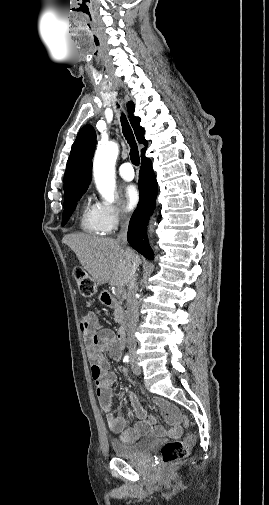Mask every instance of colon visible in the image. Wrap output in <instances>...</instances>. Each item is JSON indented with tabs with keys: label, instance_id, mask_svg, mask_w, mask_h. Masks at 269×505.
<instances>
[{
	"label": "colon",
	"instance_id": "colon-1",
	"mask_svg": "<svg viewBox=\"0 0 269 505\" xmlns=\"http://www.w3.org/2000/svg\"><path fill=\"white\" fill-rule=\"evenodd\" d=\"M74 276L80 294L83 297L91 298L96 293V284L92 277L82 268L74 270ZM93 331L98 328V324L93 322L89 325ZM193 443V437L189 436L185 440H172L165 443L161 448V459L164 464L176 463L188 455L189 446Z\"/></svg>",
	"mask_w": 269,
	"mask_h": 505
}]
</instances>
